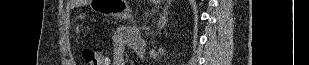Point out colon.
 Returning a JSON list of instances; mask_svg holds the SVG:
<instances>
[{
	"label": "colon",
	"instance_id": "obj_1",
	"mask_svg": "<svg viewBox=\"0 0 309 65\" xmlns=\"http://www.w3.org/2000/svg\"><path fill=\"white\" fill-rule=\"evenodd\" d=\"M83 59L88 65H104L106 57L98 50L85 48L82 52Z\"/></svg>",
	"mask_w": 309,
	"mask_h": 65
}]
</instances>
